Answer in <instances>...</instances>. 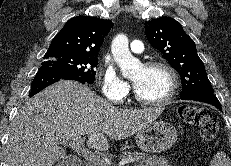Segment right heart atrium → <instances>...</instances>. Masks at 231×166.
Here are the masks:
<instances>
[{"instance_id": "right-heart-atrium-1", "label": "right heart atrium", "mask_w": 231, "mask_h": 166, "mask_svg": "<svg viewBox=\"0 0 231 166\" xmlns=\"http://www.w3.org/2000/svg\"><path fill=\"white\" fill-rule=\"evenodd\" d=\"M99 79L103 95L112 101H121L129 92L128 83L118 74L109 59L104 60L99 70Z\"/></svg>"}]
</instances>
